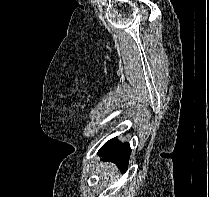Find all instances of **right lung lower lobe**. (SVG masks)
I'll return each mask as SVG.
<instances>
[{
  "label": "right lung lower lobe",
  "instance_id": "right-lung-lower-lobe-1",
  "mask_svg": "<svg viewBox=\"0 0 209 197\" xmlns=\"http://www.w3.org/2000/svg\"><path fill=\"white\" fill-rule=\"evenodd\" d=\"M131 149L129 143L121 144L116 138L106 142L99 150V156L105 157L106 161L116 163L118 168L126 169Z\"/></svg>",
  "mask_w": 209,
  "mask_h": 197
}]
</instances>
